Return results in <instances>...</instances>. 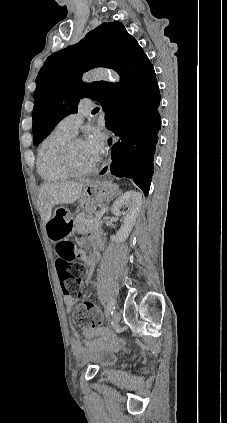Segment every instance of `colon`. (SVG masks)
<instances>
[{
	"mask_svg": "<svg viewBox=\"0 0 227 423\" xmlns=\"http://www.w3.org/2000/svg\"><path fill=\"white\" fill-rule=\"evenodd\" d=\"M71 224L56 223L51 229L55 241L56 268L64 296L77 297V286L84 276L83 267L75 262L76 248L69 240ZM98 313L91 302L80 304L74 313L75 323L85 329H94L98 325Z\"/></svg>",
	"mask_w": 227,
	"mask_h": 423,
	"instance_id": "colon-1",
	"label": "colon"
}]
</instances>
